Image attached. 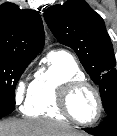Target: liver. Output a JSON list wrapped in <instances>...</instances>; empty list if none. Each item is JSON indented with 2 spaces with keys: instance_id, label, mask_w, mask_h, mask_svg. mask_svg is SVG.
Returning <instances> with one entry per match:
<instances>
[{
  "instance_id": "obj_1",
  "label": "liver",
  "mask_w": 117,
  "mask_h": 136,
  "mask_svg": "<svg viewBox=\"0 0 117 136\" xmlns=\"http://www.w3.org/2000/svg\"><path fill=\"white\" fill-rule=\"evenodd\" d=\"M0 136H87V134L56 121L9 119L0 122Z\"/></svg>"
}]
</instances>
